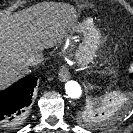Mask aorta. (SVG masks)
<instances>
[{"mask_svg":"<svg viewBox=\"0 0 133 133\" xmlns=\"http://www.w3.org/2000/svg\"><path fill=\"white\" fill-rule=\"evenodd\" d=\"M65 91L71 99H79L82 95L80 84L74 80H69L65 83Z\"/></svg>","mask_w":133,"mask_h":133,"instance_id":"obj_1","label":"aorta"}]
</instances>
